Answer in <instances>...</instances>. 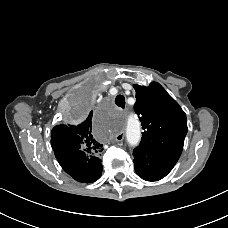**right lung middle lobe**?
<instances>
[{
    "instance_id": "obj_1",
    "label": "right lung middle lobe",
    "mask_w": 228,
    "mask_h": 228,
    "mask_svg": "<svg viewBox=\"0 0 228 228\" xmlns=\"http://www.w3.org/2000/svg\"><path fill=\"white\" fill-rule=\"evenodd\" d=\"M93 105V98L89 92L79 94L74 106L73 116L77 118L83 117Z\"/></svg>"
}]
</instances>
